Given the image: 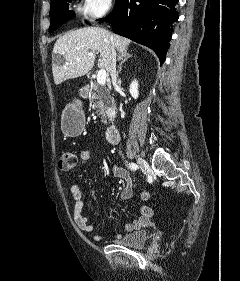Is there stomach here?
Masks as SVG:
<instances>
[{"instance_id": "stomach-1", "label": "stomach", "mask_w": 240, "mask_h": 281, "mask_svg": "<svg viewBox=\"0 0 240 281\" xmlns=\"http://www.w3.org/2000/svg\"><path fill=\"white\" fill-rule=\"evenodd\" d=\"M85 126V116L82 106L78 103L68 104L61 115V129L66 136L79 135Z\"/></svg>"}]
</instances>
